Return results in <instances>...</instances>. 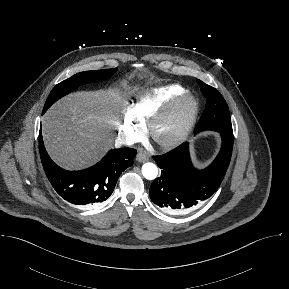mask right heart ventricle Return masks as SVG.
Wrapping results in <instances>:
<instances>
[{
  "instance_id": "right-heart-ventricle-1",
  "label": "right heart ventricle",
  "mask_w": 289,
  "mask_h": 289,
  "mask_svg": "<svg viewBox=\"0 0 289 289\" xmlns=\"http://www.w3.org/2000/svg\"><path fill=\"white\" fill-rule=\"evenodd\" d=\"M184 91L186 89L179 84H170L152 89L137 98L132 105V111L140 122L145 123L159 108Z\"/></svg>"
}]
</instances>
